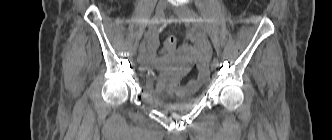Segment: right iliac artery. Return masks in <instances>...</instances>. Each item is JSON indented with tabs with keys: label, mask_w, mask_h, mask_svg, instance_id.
I'll list each match as a JSON object with an SVG mask.
<instances>
[{
	"label": "right iliac artery",
	"mask_w": 332,
	"mask_h": 140,
	"mask_svg": "<svg viewBox=\"0 0 332 140\" xmlns=\"http://www.w3.org/2000/svg\"><path fill=\"white\" fill-rule=\"evenodd\" d=\"M158 23V18L153 17L149 23H148V26H147V29L146 31L144 32V38L149 42L150 39H151V36H152V31H153V27L155 24Z\"/></svg>",
	"instance_id": "right-iliac-artery-1"
}]
</instances>
